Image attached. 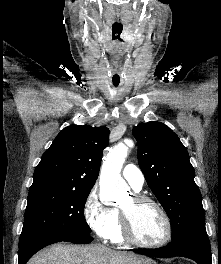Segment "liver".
Masks as SVG:
<instances>
[{"instance_id":"obj_1","label":"liver","mask_w":221,"mask_h":264,"mask_svg":"<svg viewBox=\"0 0 221 264\" xmlns=\"http://www.w3.org/2000/svg\"><path fill=\"white\" fill-rule=\"evenodd\" d=\"M151 260L131 252L109 249L100 244L87 246L56 244L35 256L27 264H150Z\"/></svg>"}]
</instances>
